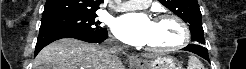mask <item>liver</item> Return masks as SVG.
<instances>
[{"mask_svg": "<svg viewBox=\"0 0 246 69\" xmlns=\"http://www.w3.org/2000/svg\"><path fill=\"white\" fill-rule=\"evenodd\" d=\"M144 57H149L144 55ZM34 69H124L108 47L76 39H61L44 47L33 63Z\"/></svg>", "mask_w": 246, "mask_h": 69, "instance_id": "6515ba94", "label": "liver"}]
</instances>
